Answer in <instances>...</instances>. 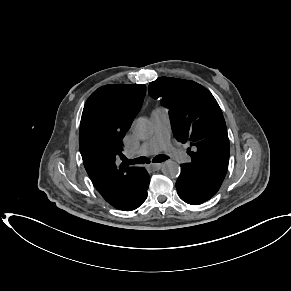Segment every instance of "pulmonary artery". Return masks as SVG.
<instances>
[{
    "mask_svg": "<svg viewBox=\"0 0 291 291\" xmlns=\"http://www.w3.org/2000/svg\"><path fill=\"white\" fill-rule=\"evenodd\" d=\"M151 118L154 125L153 134L144 141L136 152L137 155L148 156L159 151H165L176 162H185L186 153L174 147L170 142V119L164 109L153 111ZM131 156L132 154H128Z\"/></svg>",
    "mask_w": 291,
    "mask_h": 291,
    "instance_id": "e3ab8cb5",
    "label": "pulmonary artery"
}]
</instances>
